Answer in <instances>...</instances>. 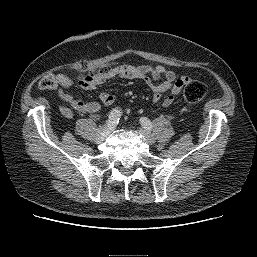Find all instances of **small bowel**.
I'll return each mask as SVG.
<instances>
[{
	"label": "small bowel",
	"mask_w": 257,
	"mask_h": 257,
	"mask_svg": "<svg viewBox=\"0 0 257 257\" xmlns=\"http://www.w3.org/2000/svg\"><path fill=\"white\" fill-rule=\"evenodd\" d=\"M59 85L56 93L61 101L66 103L69 108H62V112L67 117L73 116V110L90 115L96 114L101 105L98 102H84L71 93L73 81L64 74L55 76ZM115 78L138 79L143 81L153 91L152 103H157L163 99V105L168 107L174 102V96L181 93L185 84L190 81L186 75H176L173 71L167 70L163 66L151 65H120L109 69L104 76L91 82H80L79 85L84 90H93L98 86ZM170 94L164 97V94ZM99 99L102 104L109 106L115 101V95L109 91L99 93Z\"/></svg>",
	"instance_id": "c3829d8e"
}]
</instances>
